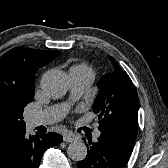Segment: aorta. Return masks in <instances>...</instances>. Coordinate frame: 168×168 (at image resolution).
Segmentation results:
<instances>
[{
	"label": "aorta",
	"mask_w": 168,
	"mask_h": 168,
	"mask_svg": "<svg viewBox=\"0 0 168 168\" xmlns=\"http://www.w3.org/2000/svg\"><path fill=\"white\" fill-rule=\"evenodd\" d=\"M40 85L47 96L59 98L69 89V77L63 71H49L42 76ZM67 153L72 160L82 161L86 158L87 147L84 142L74 141L69 144Z\"/></svg>",
	"instance_id": "762f6f07"
}]
</instances>
